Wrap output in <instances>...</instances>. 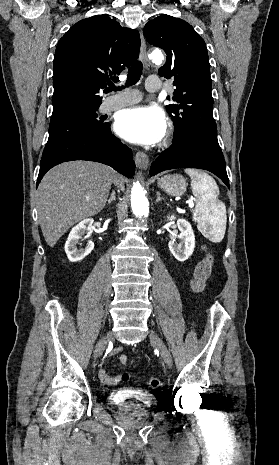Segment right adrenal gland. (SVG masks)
<instances>
[{
    "label": "right adrenal gland",
    "mask_w": 279,
    "mask_h": 465,
    "mask_svg": "<svg viewBox=\"0 0 279 465\" xmlns=\"http://www.w3.org/2000/svg\"><path fill=\"white\" fill-rule=\"evenodd\" d=\"M115 200H116L115 191L113 190L112 193H111V197L109 198V200L107 202V205H109L112 201H115Z\"/></svg>",
    "instance_id": "obj_1"
}]
</instances>
